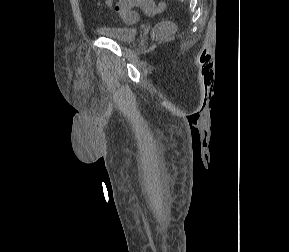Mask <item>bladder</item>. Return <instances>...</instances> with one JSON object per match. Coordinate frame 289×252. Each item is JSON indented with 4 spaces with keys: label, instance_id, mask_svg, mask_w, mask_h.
Instances as JSON below:
<instances>
[{
    "label": "bladder",
    "instance_id": "31cf9c89",
    "mask_svg": "<svg viewBox=\"0 0 289 252\" xmlns=\"http://www.w3.org/2000/svg\"><path fill=\"white\" fill-rule=\"evenodd\" d=\"M96 32L118 42H131L137 35V29L131 26H101L96 29Z\"/></svg>",
    "mask_w": 289,
    "mask_h": 252
}]
</instances>
